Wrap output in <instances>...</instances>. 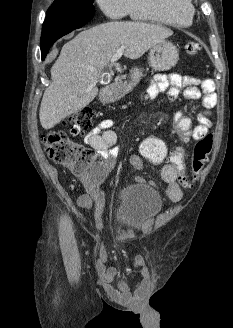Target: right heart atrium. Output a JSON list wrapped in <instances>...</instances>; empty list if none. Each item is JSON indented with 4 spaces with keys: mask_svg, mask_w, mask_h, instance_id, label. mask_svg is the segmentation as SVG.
I'll return each mask as SVG.
<instances>
[{
    "mask_svg": "<svg viewBox=\"0 0 233 328\" xmlns=\"http://www.w3.org/2000/svg\"><path fill=\"white\" fill-rule=\"evenodd\" d=\"M102 12L111 19H120L128 13L129 0H96Z\"/></svg>",
    "mask_w": 233,
    "mask_h": 328,
    "instance_id": "d8ad5b80",
    "label": "right heart atrium"
}]
</instances>
